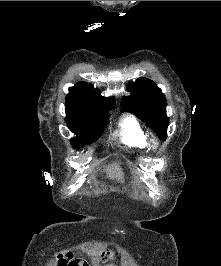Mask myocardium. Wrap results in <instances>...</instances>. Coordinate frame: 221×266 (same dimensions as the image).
Wrapping results in <instances>:
<instances>
[{"label": "myocardium", "instance_id": "myocardium-1", "mask_svg": "<svg viewBox=\"0 0 221 266\" xmlns=\"http://www.w3.org/2000/svg\"><path fill=\"white\" fill-rule=\"evenodd\" d=\"M151 145L154 149H157L159 147V141L157 139H152Z\"/></svg>", "mask_w": 221, "mask_h": 266}]
</instances>
